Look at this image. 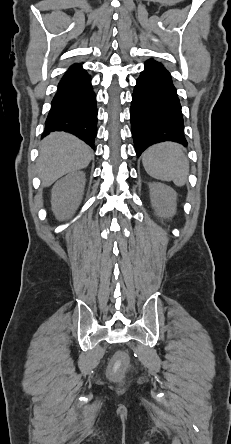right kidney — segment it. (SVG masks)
Instances as JSON below:
<instances>
[{
    "instance_id": "ca27d5eb",
    "label": "right kidney",
    "mask_w": 231,
    "mask_h": 444,
    "mask_svg": "<svg viewBox=\"0 0 231 444\" xmlns=\"http://www.w3.org/2000/svg\"><path fill=\"white\" fill-rule=\"evenodd\" d=\"M85 174L74 172L58 180L52 188V210L59 220L71 216L82 200Z\"/></svg>"
}]
</instances>
